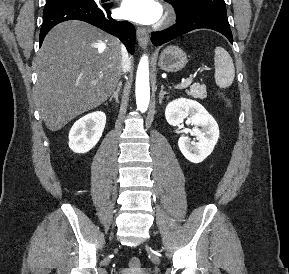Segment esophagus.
Here are the masks:
<instances>
[{
    "instance_id": "34e87169",
    "label": "esophagus",
    "mask_w": 289,
    "mask_h": 274,
    "mask_svg": "<svg viewBox=\"0 0 289 274\" xmlns=\"http://www.w3.org/2000/svg\"><path fill=\"white\" fill-rule=\"evenodd\" d=\"M137 39L140 47L145 49L149 42L148 32L142 27H137Z\"/></svg>"
}]
</instances>
